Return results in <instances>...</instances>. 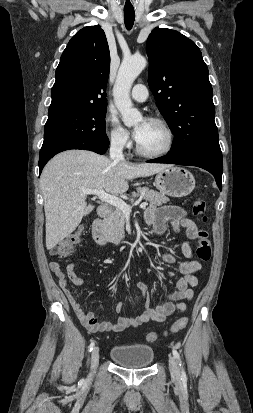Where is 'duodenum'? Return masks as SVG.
<instances>
[{"mask_svg":"<svg viewBox=\"0 0 253 413\" xmlns=\"http://www.w3.org/2000/svg\"><path fill=\"white\" fill-rule=\"evenodd\" d=\"M112 210L107 205H102L98 209V218L92 224V236L99 245L107 243V237L104 231V222L111 216Z\"/></svg>","mask_w":253,"mask_h":413,"instance_id":"410a0bca","label":"duodenum"}]
</instances>
